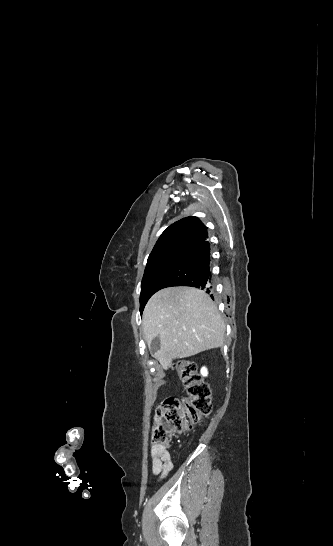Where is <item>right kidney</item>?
<instances>
[{"instance_id": "right-kidney-1", "label": "right kidney", "mask_w": 333, "mask_h": 546, "mask_svg": "<svg viewBox=\"0 0 333 546\" xmlns=\"http://www.w3.org/2000/svg\"><path fill=\"white\" fill-rule=\"evenodd\" d=\"M201 373L206 376L208 374V371H207V369L205 367H203L201 369Z\"/></svg>"}]
</instances>
